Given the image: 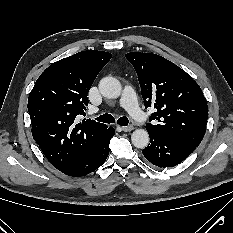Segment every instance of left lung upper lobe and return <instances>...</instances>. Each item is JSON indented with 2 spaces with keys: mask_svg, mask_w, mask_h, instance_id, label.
Wrapping results in <instances>:
<instances>
[{
  "mask_svg": "<svg viewBox=\"0 0 233 233\" xmlns=\"http://www.w3.org/2000/svg\"><path fill=\"white\" fill-rule=\"evenodd\" d=\"M138 75L145 108L154 106L147 131L181 139L196 146L202 141L208 106L199 85L171 61L152 53H127Z\"/></svg>",
  "mask_w": 233,
  "mask_h": 233,
  "instance_id": "1",
  "label": "left lung upper lobe"
}]
</instances>
